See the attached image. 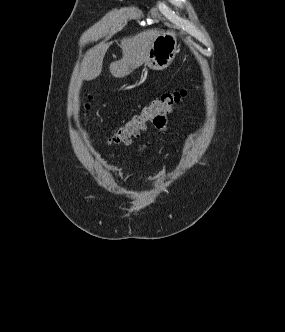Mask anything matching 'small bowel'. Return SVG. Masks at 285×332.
Masks as SVG:
<instances>
[{
	"mask_svg": "<svg viewBox=\"0 0 285 332\" xmlns=\"http://www.w3.org/2000/svg\"><path fill=\"white\" fill-rule=\"evenodd\" d=\"M149 121L152 122V126H160V130L162 131V127L165 126L168 121V116L162 115L161 113L159 115H150Z\"/></svg>",
	"mask_w": 285,
	"mask_h": 332,
	"instance_id": "1",
	"label": "small bowel"
}]
</instances>
